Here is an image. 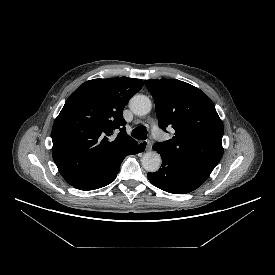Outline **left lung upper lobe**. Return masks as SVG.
<instances>
[{"instance_id":"left-lung-upper-lobe-1","label":"left lung upper lobe","mask_w":275,"mask_h":275,"mask_svg":"<svg viewBox=\"0 0 275 275\" xmlns=\"http://www.w3.org/2000/svg\"><path fill=\"white\" fill-rule=\"evenodd\" d=\"M155 100L162 129L175 130L172 139L153 146L156 150L209 177L223 155V123L211 99L200 89L180 80H145Z\"/></svg>"}]
</instances>
